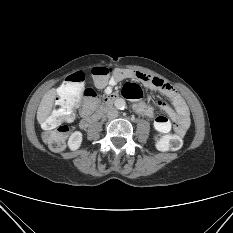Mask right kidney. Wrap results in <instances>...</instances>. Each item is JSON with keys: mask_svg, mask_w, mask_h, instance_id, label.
Returning <instances> with one entry per match:
<instances>
[{"mask_svg": "<svg viewBox=\"0 0 233 233\" xmlns=\"http://www.w3.org/2000/svg\"><path fill=\"white\" fill-rule=\"evenodd\" d=\"M82 143V133L80 131L73 132L68 139V147L70 150H77Z\"/></svg>", "mask_w": 233, "mask_h": 233, "instance_id": "obj_1", "label": "right kidney"}]
</instances>
